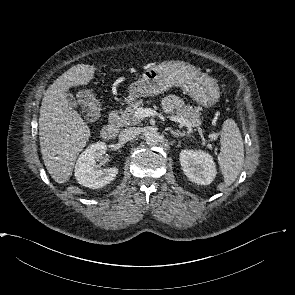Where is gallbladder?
<instances>
[{
    "instance_id": "bac80fb5",
    "label": "gallbladder",
    "mask_w": 295,
    "mask_h": 295,
    "mask_svg": "<svg viewBox=\"0 0 295 295\" xmlns=\"http://www.w3.org/2000/svg\"><path fill=\"white\" fill-rule=\"evenodd\" d=\"M66 99H67L70 106H72V107L77 106V101L72 94L66 93Z\"/></svg>"
}]
</instances>
